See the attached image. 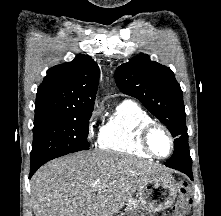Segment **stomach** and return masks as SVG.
Instances as JSON below:
<instances>
[{"label": "stomach", "instance_id": "1", "mask_svg": "<svg viewBox=\"0 0 221 216\" xmlns=\"http://www.w3.org/2000/svg\"><path fill=\"white\" fill-rule=\"evenodd\" d=\"M176 197L177 186L170 174L151 177L138 188V205L142 212L132 209L125 211L121 216H152L170 207Z\"/></svg>", "mask_w": 221, "mask_h": 216}]
</instances>
